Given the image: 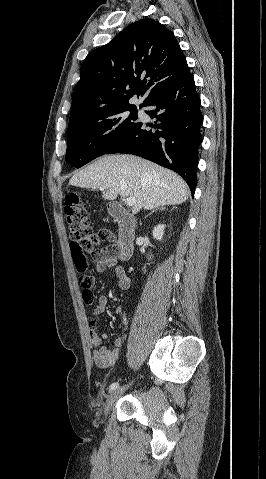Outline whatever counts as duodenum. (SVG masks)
I'll return each mask as SVG.
<instances>
[{
	"mask_svg": "<svg viewBox=\"0 0 266 479\" xmlns=\"http://www.w3.org/2000/svg\"><path fill=\"white\" fill-rule=\"evenodd\" d=\"M109 212L120 224V236L113 249V254L116 258L127 261L135 249L136 219L133 214L117 203L109 205Z\"/></svg>",
	"mask_w": 266,
	"mask_h": 479,
	"instance_id": "410a0bca",
	"label": "duodenum"
}]
</instances>
